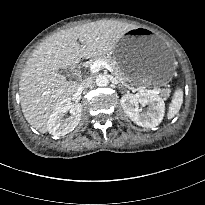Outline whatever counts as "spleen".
I'll return each instance as SVG.
<instances>
[{
    "label": "spleen",
    "mask_w": 205,
    "mask_h": 205,
    "mask_svg": "<svg viewBox=\"0 0 205 205\" xmlns=\"http://www.w3.org/2000/svg\"><path fill=\"white\" fill-rule=\"evenodd\" d=\"M182 103H183V91L182 89H177L169 105L168 116H167L168 119H172L179 112Z\"/></svg>",
    "instance_id": "spleen-1"
}]
</instances>
